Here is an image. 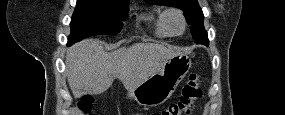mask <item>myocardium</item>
<instances>
[{"mask_svg": "<svg viewBox=\"0 0 285 115\" xmlns=\"http://www.w3.org/2000/svg\"><path fill=\"white\" fill-rule=\"evenodd\" d=\"M172 16H176L180 20L181 27L178 31L174 30L172 27V24H171ZM163 21H164V24L167 30L170 32V34L174 36L181 35L186 30L187 22H186L185 15L181 10L177 8H168L167 10H165L163 12Z\"/></svg>", "mask_w": 285, "mask_h": 115, "instance_id": "obj_1", "label": "myocardium"}]
</instances>
